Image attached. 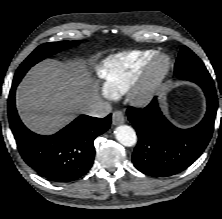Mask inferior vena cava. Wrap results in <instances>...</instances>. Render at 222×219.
<instances>
[{"instance_id": "obj_1", "label": "inferior vena cava", "mask_w": 222, "mask_h": 219, "mask_svg": "<svg viewBox=\"0 0 222 219\" xmlns=\"http://www.w3.org/2000/svg\"><path fill=\"white\" fill-rule=\"evenodd\" d=\"M112 111V107L108 102L105 101H99L93 105H91L89 108L85 110V114L93 116V117H98V118H103L110 114Z\"/></svg>"}]
</instances>
